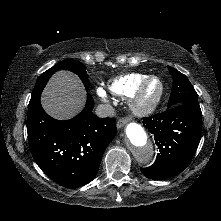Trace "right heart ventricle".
I'll list each match as a JSON object with an SVG mask.
<instances>
[{
    "label": "right heart ventricle",
    "instance_id": "1",
    "mask_svg": "<svg viewBox=\"0 0 221 221\" xmlns=\"http://www.w3.org/2000/svg\"><path fill=\"white\" fill-rule=\"evenodd\" d=\"M146 77L148 75L143 73H130L118 76L109 81L107 88L114 95L121 97L131 96Z\"/></svg>",
    "mask_w": 221,
    "mask_h": 221
}]
</instances>
